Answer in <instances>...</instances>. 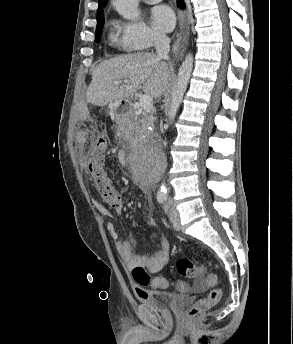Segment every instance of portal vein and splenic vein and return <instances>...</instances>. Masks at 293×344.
Listing matches in <instances>:
<instances>
[{
	"label": "portal vein and splenic vein",
	"mask_w": 293,
	"mask_h": 344,
	"mask_svg": "<svg viewBox=\"0 0 293 344\" xmlns=\"http://www.w3.org/2000/svg\"><path fill=\"white\" fill-rule=\"evenodd\" d=\"M125 83H127V81H125ZM115 84L119 85V84H121V82L115 81ZM139 102H140V107L145 112H149L153 107V101L149 95L144 94V95L140 96Z\"/></svg>",
	"instance_id": "portal-vein-and-splenic-vein-1"
}]
</instances>
